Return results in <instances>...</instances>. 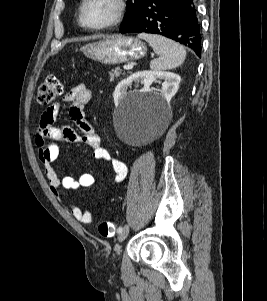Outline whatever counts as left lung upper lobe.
Returning a JSON list of instances; mask_svg holds the SVG:
<instances>
[{
  "mask_svg": "<svg viewBox=\"0 0 267 301\" xmlns=\"http://www.w3.org/2000/svg\"><path fill=\"white\" fill-rule=\"evenodd\" d=\"M145 1L146 0L127 1V12L124 15V22L122 26L132 22L137 17Z\"/></svg>",
  "mask_w": 267,
  "mask_h": 301,
  "instance_id": "5c2ea615",
  "label": "left lung upper lobe"
}]
</instances>
